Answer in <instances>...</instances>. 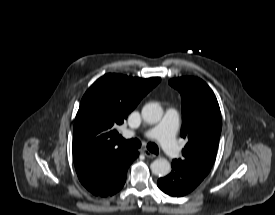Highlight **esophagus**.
I'll list each match as a JSON object with an SVG mask.
<instances>
[{"label":"esophagus","instance_id":"1","mask_svg":"<svg viewBox=\"0 0 275 215\" xmlns=\"http://www.w3.org/2000/svg\"><path fill=\"white\" fill-rule=\"evenodd\" d=\"M141 153H142L143 155H145L147 158H155V157H156L155 154L149 152V151L146 150V149H142V150H141Z\"/></svg>","mask_w":275,"mask_h":215}]
</instances>
